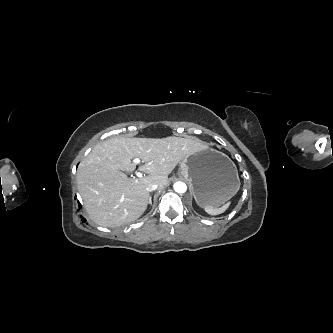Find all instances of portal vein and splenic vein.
Here are the masks:
<instances>
[{
	"label": "portal vein and splenic vein",
	"instance_id": "1",
	"mask_svg": "<svg viewBox=\"0 0 333 333\" xmlns=\"http://www.w3.org/2000/svg\"><path fill=\"white\" fill-rule=\"evenodd\" d=\"M133 162H134L135 164H140V163H141V160H140L139 158H135V159L133 160ZM136 175H137L138 177H142V176H143L141 172H136Z\"/></svg>",
	"mask_w": 333,
	"mask_h": 333
}]
</instances>
